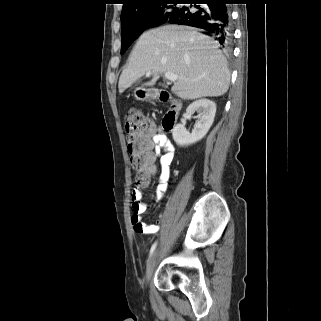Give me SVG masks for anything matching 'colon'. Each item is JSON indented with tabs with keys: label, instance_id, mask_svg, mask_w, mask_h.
<instances>
[{
	"label": "colon",
	"instance_id": "obj_1",
	"mask_svg": "<svg viewBox=\"0 0 321 321\" xmlns=\"http://www.w3.org/2000/svg\"><path fill=\"white\" fill-rule=\"evenodd\" d=\"M152 124L138 109L131 108L125 115V133L135 178L140 183L151 174L149 137Z\"/></svg>",
	"mask_w": 321,
	"mask_h": 321
}]
</instances>
